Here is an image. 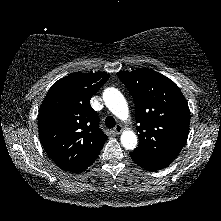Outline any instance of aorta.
Returning a JSON list of instances; mask_svg holds the SVG:
<instances>
[{"label":"aorta","instance_id":"aorta-1","mask_svg":"<svg viewBox=\"0 0 221 221\" xmlns=\"http://www.w3.org/2000/svg\"><path fill=\"white\" fill-rule=\"evenodd\" d=\"M103 100L107 108L119 119L127 120L129 110L122 93L116 88H107L103 92ZM121 144L126 149H134L137 145V136L134 132L125 130L121 135Z\"/></svg>","mask_w":221,"mask_h":221}]
</instances>
